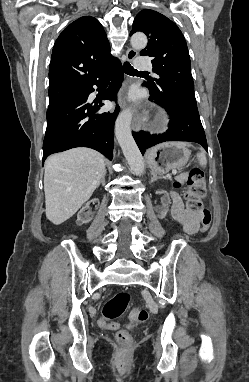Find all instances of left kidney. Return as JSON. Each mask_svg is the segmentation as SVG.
I'll return each mask as SVG.
<instances>
[{
  "instance_id": "obj_1",
  "label": "left kidney",
  "mask_w": 249,
  "mask_h": 382,
  "mask_svg": "<svg viewBox=\"0 0 249 382\" xmlns=\"http://www.w3.org/2000/svg\"><path fill=\"white\" fill-rule=\"evenodd\" d=\"M167 193V192H166ZM169 197L167 194H162V196L159 197V201L157 202L158 208H167L169 204Z\"/></svg>"
}]
</instances>
